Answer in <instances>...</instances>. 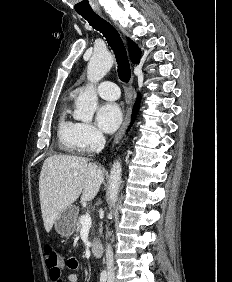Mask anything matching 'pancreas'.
<instances>
[{"mask_svg":"<svg viewBox=\"0 0 232 282\" xmlns=\"http://www.w3.org/2000/svg\"><path fill=\"white\" fill-rule=\"evenodd\" d=\"M82 217L83 216L78 217V220L76 221V224H75V226H76V228H75L76 233H79L81 231V229H82V224H81V218Z\"/></svg>","mask_w":232,"mask_h":282,"instance_id":"obj_1","label":"pancreas"}]
</instances>
